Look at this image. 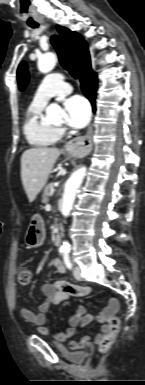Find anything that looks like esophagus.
<instances>
[{
    "label": "esophagus",
    "instance_id": "34e87169",
    "mask_svg": "<svg viewBox=\"0 0 145 385\" xmlns=\"http://www.w3.org/2000/svg\"><path fill=\"white\" fill-rule=\"evenodd\" d=\"M92 134L93 128L90 125L85 136L74 138L67 144L70 152L79 157L89 154L92 150Z\"/></svg>",
    "mask_w": 145,
    "mask_h": 385
}]
</instances>
